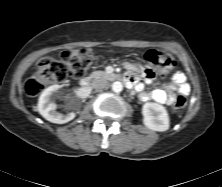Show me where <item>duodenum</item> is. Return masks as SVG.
Listing matches in <instances>:
<instances>
[{
  "mask_svg": "<svg viewBox=\"0 0 222 187\" xmlns=\"http://www.w3.org/2000/svg\"><path fill=\"white\" fill-rule=\"evenodd\" d=\"M122 80L128 84L129 86H133L134 85V81L131 77L129 76H123ZM90 91V84L88 80H82V82L80 83V88H79V93L81 95H87Z\"/></svg>",
  "mask_w": 222,
  "mask_h": 187,
  "instance_id": "1",
  "label": "duodenum"
}]
</instances>
